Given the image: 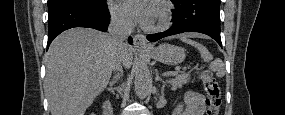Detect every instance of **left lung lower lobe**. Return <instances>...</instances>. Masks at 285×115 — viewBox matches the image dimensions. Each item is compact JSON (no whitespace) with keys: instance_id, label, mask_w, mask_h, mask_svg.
Masks as SVG:
<instances>
[{"instance_id":"left-lung-lower-lobe-1","label":"left lung lower lobe","mask_w":285,"mask_h":115,"mask_svg":"<svg viewBox=\"0 0 285 115\" xmlns=\"http://www.w3.org/2000/svg\"><path fill=\"white\" fill-rule=\"evenodd\" d=\"M173 25L165 32L149 34L151 42L161 38L183 33L200 32L215 39L220 46V0H172Z\"/></svg>"}]
</instances>
